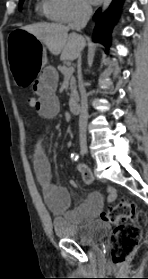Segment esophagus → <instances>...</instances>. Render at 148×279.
I'll return each mask as SVG.
<instances>
[{"label":"esophagus","mask_w":148,"mask_h":279,"mask_svg":"<svg viewBox=\"0 0 148 279\" xmlns=\"http://www.w3.org/2000/svg\"><path fill=\"white\" fill-rule=\"evenodd\" d=\"M111 0H104V3H103V6H102V9L103 11H105L109 5Z\"/></svg>","instance_id":"obj_1"}]
</instances>
